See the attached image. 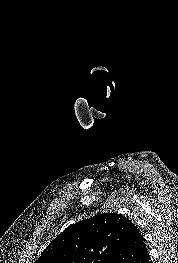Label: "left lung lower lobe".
<instances>
[{"label": "left lung lower lobe", "instance_id": "0a47b994", "mask_svg": "<svg viewBox=\"0 0 178 263\" xmlns=\"http://www.w3.org/2000/svg\"><path fill=\"white\" fill-rule=\"evenodd\" d=\"M110 263H152L142 235L134 224Z\"/></svg>", "mask_w": 178, "mask_h": 263}]
</instances>
